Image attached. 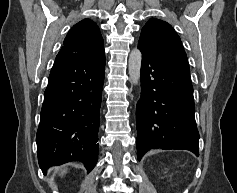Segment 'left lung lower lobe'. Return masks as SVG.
<instances>
[{"mask_svg":"<svg viewBox=\"0 0 237 193\" xmlns=\"http://www.w3.org/2000/svg\"><path fill=\"white\" fill-rule=\"evenodd\" d=\"M141 97L136 108L138 160L152 148L184 149L199 156L190 70L139 48Z\"/></svg>","mask_w":237,"mask_h":193,"instance_id":"1","label":"left lung lower lobe"}]
</instances>
